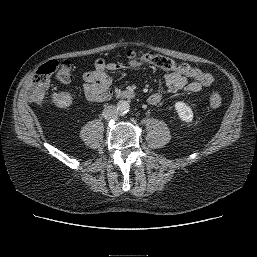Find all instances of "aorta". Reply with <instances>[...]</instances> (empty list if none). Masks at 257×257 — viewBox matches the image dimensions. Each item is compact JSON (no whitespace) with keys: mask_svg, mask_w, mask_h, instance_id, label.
Listing matches in <instances>:
<instances>
[{"mask_svg":"<svg viewBox=\"0 0 257 257\" xmlns=\"http://www.w3.org/2000/svg\"><path fill=\"white\" fill-rule=\"evenodd\" d=\"M130 105L127 101L125 100H120L117 103V110L119 111L120 114H125L129 111Z\"/></svg>","mask_w":257,"mask_h":257,"instance_id":"obj_1","label":"aorta"}]
</instances>
